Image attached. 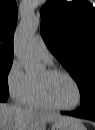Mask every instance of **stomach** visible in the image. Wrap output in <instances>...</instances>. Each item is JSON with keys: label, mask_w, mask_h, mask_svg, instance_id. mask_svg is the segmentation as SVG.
I'll use <instances>...</instances> for the list:
<instances>
[{"label": "stomach", "mask_w": 95, "mask_h": 130, "mask_svg": "<svg viewBox=\"0 0 95 130\" xmlns=\"http://www.w3.org/2000/svg\"><path fill=\"white\" fill-rule=\"evenodd\" d=\"M51 130H86V127L80 120L72 117H66L65 119L55 122Z\"/></svg>", "instance_id": "0dacf381"}]
</instances>
